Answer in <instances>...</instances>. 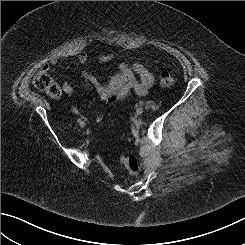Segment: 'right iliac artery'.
<instances>
[{
	"instance_id": "82829eb1",
	"label": "right iliac artery",
	"mask_w": 245,
	"mask_h": 245,
	"mask_svg": "<svg viewBox=\"0 0 245 245\" xmlns=\"http://www.w3.org/2000/svg\"><path fill=\"white\" fill-rule=\"evenodd\" d=\"M77 121H78L79 125H81L83 123V121L81 119H78Z\"/></svg>"
}]
</instances>
